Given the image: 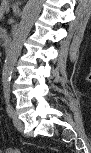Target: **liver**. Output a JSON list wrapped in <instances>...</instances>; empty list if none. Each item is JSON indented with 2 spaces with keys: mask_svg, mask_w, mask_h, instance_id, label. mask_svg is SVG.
I'll use <instances>...</instances> for the list:
<instances>
[{
  "mask_svg": "<svg viewBox=\"0 0 91 153\" xmlns=\"http://www.w3.org/2000/svg\"><path fill=\"white\" fill-rule=\"evenodd\" d=\"M6 3V1H3V4H5Z\"/></svg>",
  "mask_w": 91,
  "mask_h": 153,
  "instance_id": "obj_1",
  "label": "liver"
}]
</instances>
